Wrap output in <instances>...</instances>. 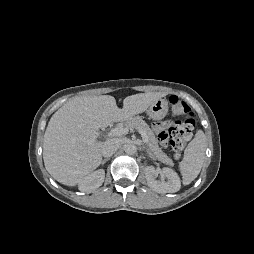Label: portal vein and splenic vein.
<instances>
[{
    "label": "portal vein and splenic vein",
    "instance_id": "obj_1",
    "mask_svg": "<svg viewBox=\"0 0 254 254\" xmlns=\"http://www.w3.org/2000/svg\"><path fill=\"white\" fill-rule=\"evenodd\" d=\"M129 132V128L127 127H117L112 129L109 133H108V137H113V136H120V135H124L127 134ZM138 132L141 134L143 142L147 143L148 138L146 133L143 130H138Z\"/></svg>",
    "mask_w": 254,
    "mask_h": 254
}]
</instances>
